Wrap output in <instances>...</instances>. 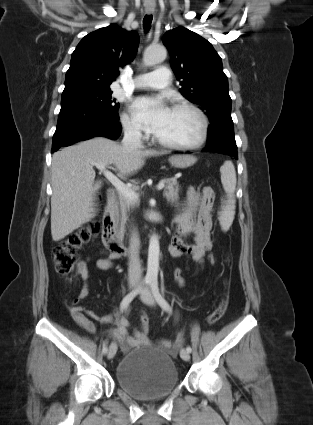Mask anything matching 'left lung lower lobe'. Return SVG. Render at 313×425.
Wrapping results in <instances>:
<instances>
[{
    "instance_id": "0a47b994",
    "label": "left lung lower lobe",
    "mask_w": 313,
    "mask_h": 425,
    "mask_svg": "<svg viewBox=\"0 0 313 425\" xmlns=\"http://www.w3.org/2000/svg\"><path fill=\"white\" fill-rule=\"evenodd\" d=\"M203 150L232 155L238 159L233 123L211 124L208 128L207 145Z\"/></svg>"
}]
</instances>
